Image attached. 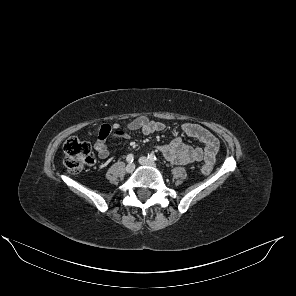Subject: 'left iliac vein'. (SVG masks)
Wrapping results in <instances>:
<instances>
[{
    "label": "left iliac vein",
    "mask_w": 296,
    "mask_h": 296,
    "mask_svg": "<svg viewBox=\"0 0 296 296\" xmlns=\"http://www.w3.org/2000/svg\"><path fill=\"white\" fill-rule=\"evenodd\" d=\"M139 163H140L141 165H143V166H149V167H153V168L156 167L155 163L152 162V161H150V160H149L148 158H146V157H140V158H139Z\"/></svg>",
    "instance_id": "4c4485c4"
}]
</instances>
